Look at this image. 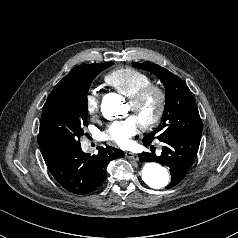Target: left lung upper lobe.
Returning a JSON list of instances; mask_svg holds the SVG:
<instances>
[{
  "label": "left lung upper lobe",
  "instance_id": "5c2ea615",
  "mask_svg": "<svg viewBox=\"0 0 238 238\" xmlns=\"http://www.w3.org/2000/svg\"><path fill=\"white\" fill-rule=\"evenodd\" d=\"M137 68L147 70L156 75L166 89V104L159 126L144 137L152 142L178 135L201 137L202 120L197 105L187 85L169 70L150 63L133 62Z\"/></svg>",
  "mask_w": 238,
  "mask_h": 238
}]
</instances>
